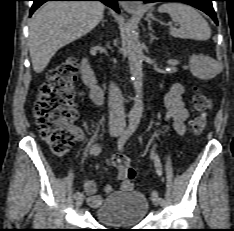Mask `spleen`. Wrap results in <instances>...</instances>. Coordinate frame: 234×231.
<instances>
[{
	"label": "spleen",
	"mask_w": 234,
	"mask_h": 231,
	"mask_svg": "<svg viewBox=\"0 0 234 231\" xmlns=\"http://www.w3.org/2000/svg\"><path fill=\"white\" fill-rule=\"evenodd\" d=\"M158 11L168 13L172 21L180 25L179 29L170 28V35L173 37L203 41L211 37V29L207 21L189 5L164 3Z\"/></svg>",
	"instance_id": "spleen-1"
}]
</instances>
